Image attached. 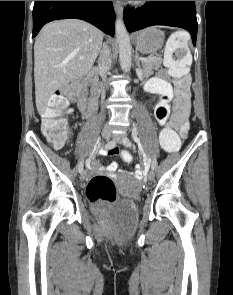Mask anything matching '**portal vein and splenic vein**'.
I'll list each match as a JSON object with an SVG mask.
<instances>
[{
    "label": "portal vein and splenic vein",
    "instance_id": "portal-vein-and-splenic-vein-1",
    "mask_svg": "<svg viewBox=\"0 0 233 295\" xmlns=\"http://www.w3.org/2000/svg\"><path fill=\"white\" fill-rule=\"evenodd\" d=\"M154 59V57H149V58H142L141 60L142 61H150V60H153Z\"/></svg>",
    "mask_w": 233,
    "mask_h": 295
}]
</instances>
